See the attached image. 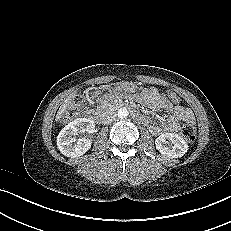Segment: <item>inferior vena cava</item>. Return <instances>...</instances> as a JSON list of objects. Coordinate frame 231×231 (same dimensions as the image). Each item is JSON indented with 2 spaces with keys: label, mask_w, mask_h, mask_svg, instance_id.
<instances>
[{
  "label": "inferior vena cava",
  "mask_w": 231,
  "mask_h": 231,
  "mask_svg": "<svg viewBox=\"0 0 231 231\" xmlns=\"http://www.w3.org/2000/svg\"><path fill=\"white\" fill-rule=\"evenodd\" d=\"M117 114L114 111H107L102 118L103 124H111L112 122L116 121Z\"/></svg>",
  "instance_id": "inferior-vena-cava-1"
}]
</instances>
